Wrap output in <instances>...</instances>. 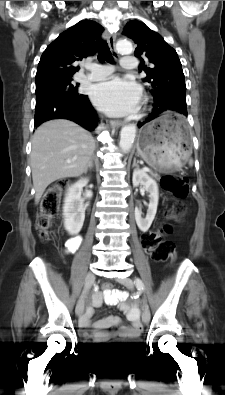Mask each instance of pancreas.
<instances>
[{"label":"pancreas","mask_w":225,"mask_h":395,"mask_svg":"<svg viewBox=\"0 0 225 395\" xmlns=\"http://www.w3.org/2000/svg\"><path fill=\"white\" fill-rule=\"evenodd\" d=\"M151 175H152L154 178H158V177H159L158 174H155V173H151Z\"/></svg>","instance_id":"pancreas-1"}]
</instances>
